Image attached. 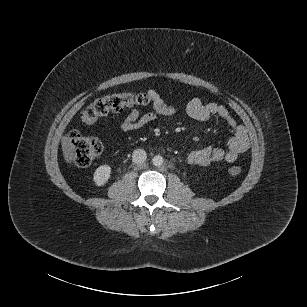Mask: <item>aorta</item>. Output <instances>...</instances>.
Instances as JSON below:
<instances>
[{
  "instance_id": "1",
  "label": "aorta",
  "mask_w": 307,
  "mask_h": 307,
  "mask_svg": "<svg viewBox=\"0 0 307 307\" xmlns=\"http://www.w3.org/2000/svg\"><path fill=\"white\" fill-rule=\"evenodd\" d=\"M152 163L154 166H161L164 163V159L161 155H156L152 158Z\"/></svg>"
}]
</instances>
